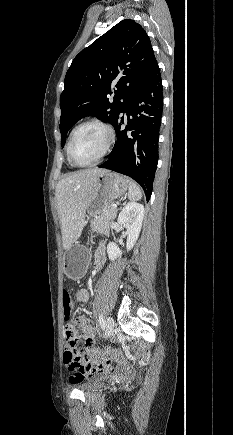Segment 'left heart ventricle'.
<instances>
[{"mask_svg": "<svg viewBox=\"0 0 233 435\" xmlns=\"http://www.w3.org/2000/svg\"><path fill=\"white\" fill-rule=\"evenodd\" d=\"M106 140V132L101 127L96 125L82 127L73 139V158L80 164L94 161L103 150Z\"/></svg>", "mask_w": 233, "mask_h": 435, "instance_id": "obj_1", "label": "left heart ventricle"}]
</instances>
